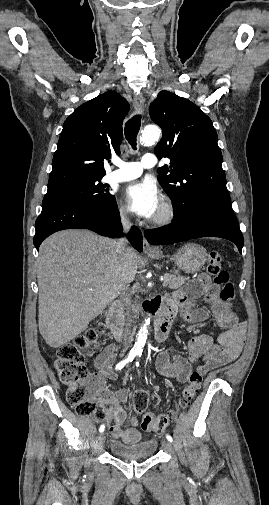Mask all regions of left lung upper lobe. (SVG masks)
<instances>
[{"mask_svg": "<svg viewBox=\"0 0 269 505\" xmlns=\"http://www.w3.org/2000/svg\"><path fill=\"white\" fill-rule=\"evenodd\" d=\"M150 116L163 130L154 153L171 160L158 169V181L172 200L174 219H189L205 203H230L211 119L191 101L165 90L151 104Z\"/></svg>", "mask_w": 269, "mask_h": 505, "instance_id": "1", "label": "left lung upper lobe"}]
</instances>
